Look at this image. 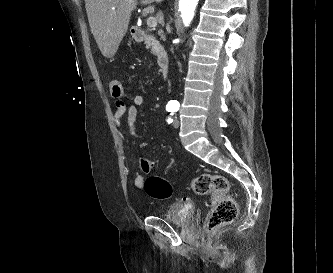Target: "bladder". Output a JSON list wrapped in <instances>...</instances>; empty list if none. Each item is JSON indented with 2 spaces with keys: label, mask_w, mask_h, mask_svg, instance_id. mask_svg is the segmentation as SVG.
<instances>
[{
  "label": "bladder",
  "mask_w": 333,
  "mask_h": 273,
  "mask_svg": "<svg viewBox=\"0 0 333 273\" xmlns=\"http://www.w3.org/2000/svg\"><path fill=\"white\" fill-rule=\"evenodd\" d=\"M194 217V206L185 202H175L166 206L163 218L176 226L189 224Z\"/></svg>",
  "instance_id": "31cf9c89"
}]
</instances>
